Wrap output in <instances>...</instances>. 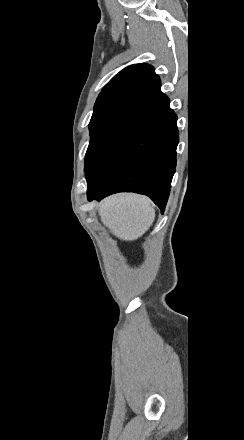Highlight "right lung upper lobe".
Wrapping results in <instances>:
<instances>
[{
  "label": "right lung upper lobe",
  "mask_w": 244,
  "mask_h": 440,
  "mask_svg": "<svg viewBox=\"0 0 244 440\" xmlns=\"http://www.w3.org/2000/svg\"><path fill=\"white\" fill-rule=\"evenodd\" d=\"M161 82L154 68L147 64L130 65L116 74L99 94L97 101L118 97L142 99L160 88Z\"/></svg>",
  "instance_id": "1"
}]
</instances>
